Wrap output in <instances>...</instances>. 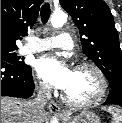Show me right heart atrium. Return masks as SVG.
I'll use <instances>...</instances> for the list:
<instances>
[{"mask_svg":"<svg viewBox=\"0 0 122 123\" xmlns=\"http://www.w3.org/2000/svg\"><path fill=\"white\" fill-rule=\"evenodd\" d=\"M39 89H40V92L43 94H46L49 92L48 86L46 84H44L43 82L39 83Z\"/></svg>","mask_w":122,"mask_h":123,"instance_id":"1","label":"right heart atrium"}]
</instances>
